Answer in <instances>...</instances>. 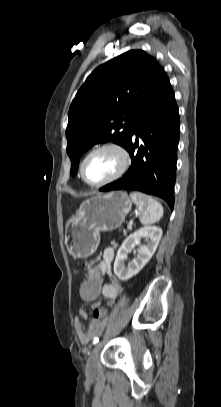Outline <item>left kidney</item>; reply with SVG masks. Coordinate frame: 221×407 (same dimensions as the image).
I'll use <instances>...</instances> for the list:
<instances>
[{"label":"left kidney","instance_id":"1","mask_svg":"<svg viewBox=\"0 0 221 407\" xmlns=\"http://www.w3.org/2000/svg\"><path fill=\"white\" fill-rule=\"evenodd\" d=\"M161 236L162 229L157 226L142 227L128 236L116 255L114 262V273L116 276L122 281H127L135 276L155 253ZM142 238H146L147 244L140 247L137 258L133 259L126 267L124 261L127 259V254L140 244Z\"/></svg>","mask_w":221,"mask_h":407}]
</instances>
